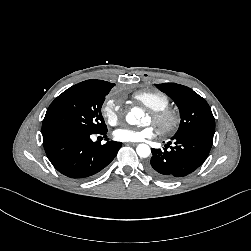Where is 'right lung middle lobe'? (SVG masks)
I'll use <instances>...</instances> for the list:
<instances>
[{
    "label": "right lung middle lobe",
    "instance_id": "dd1d6c3e",
    "mask_svg": "<svg viewBox=\"0 0 251 251\" xmlns=\"http://www.w3.org/2000/svg\"><path fill=\"white\" fill-rule=\"evenodd\" d=\"M109 91L82 83L70 87L49 106L42 134L52 131L97 134L105 131L101 107Z\"/></svg>",
    "mask_w": 251,
    "mask_h": 251
}]
</instances>
